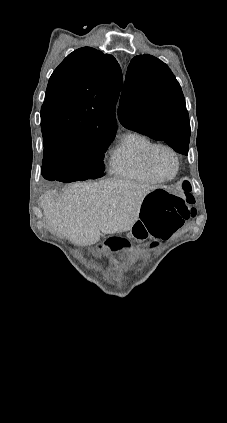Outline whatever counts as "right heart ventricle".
I'll return each mask as SVG.
<instances>
[{"instance_id": "obj_1", "label": "right heart ventricle", "mask_w": 227, "mask_h": 423, "mask_svg": "<svg viewBox=\"0 0 227 423\" xmlns=\"http://www.w3.org/2000/svg\"><path fill=\"white\" fill-rule=\"evenodd\" d=\"M153 141L138 131L125 132L113 149L110 160V172L119 178L145 184H157L155 178L145 165V154Z\"/></svg>"}]
</instances>
